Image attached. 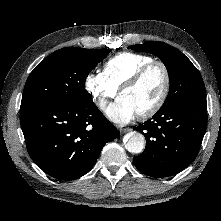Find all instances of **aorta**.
<instances>
[{
    "mask_svg": "<svg viewBox=\"0 0 221 221\" xmlns=\"http://www.w3.org/2000/svg\"><path fill=\"white\" fill-rule=\"evenodd\" d=\"M146 145L145 137L139 132H132L125 144V148L134 154L141 153Z\"/></svg>",
    "mask_w": 221,
    "mask_h": 221,
    "instance_id": "1",
    "label": "aorta"
}]
</instances>
